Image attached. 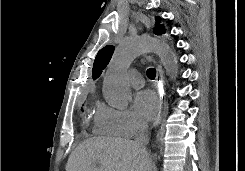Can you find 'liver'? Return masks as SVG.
I'll return each instance as SVG.
<instances>
[{"label": "liver", "instance_id": "6515ba94", "mask_svg": "<svg viewBox=\"0 0 245 171\" xmlns=\"http://www.w3.org/2000/svg\"><path fill=\"white\" fill-rule=\"evenodd\" d=\"M152 161L134 141L93 137L71 153L66 171H152Z\"/></svg>", "mask_w": 245, "mask_h": 171}]
</instances>
